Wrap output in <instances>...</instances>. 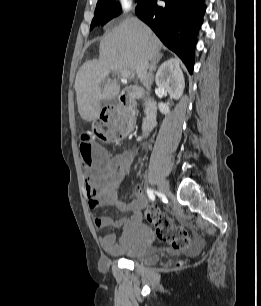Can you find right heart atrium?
<instances>
[{
    "label": "right heart atrium",
    "mask_w": 261,
    "mask_h": 306,
    "mask_svg": "<svg viewBox=\"0 0 261 306\" xmlns=\"http://www.w3.org/2000/svg\"><path fill=\"white\" fill-rule=\"evenodd\" d=\"M134 2V0H114V10L118 15H123L133 8Z\"/></svg>",
    "instance_id": "1"
}]
</instances>
